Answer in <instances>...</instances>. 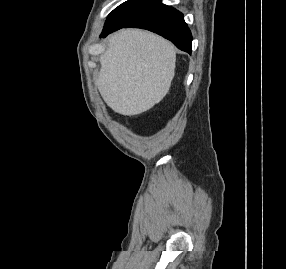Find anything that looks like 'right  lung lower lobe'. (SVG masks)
<instances>
[{"label": "right lung lower lobe", "mask_w": 286, "mask_h": 269, "mask_svg": "<svg viewBox=\"0 0 286 269\" xmlns=\"http://www.w3.org/2000/svg\"><path fill=\"white\" fill-rule=\"evenodd\" d=\"M142 28L155 32L173 42L179 49L191 53L192 35L183 14L159 3L121 28ZM120 28L103 30L101 37Z\"/></svg>", "instance_id": "1"}]
</instances>
